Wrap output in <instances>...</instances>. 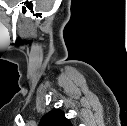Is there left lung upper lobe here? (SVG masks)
Segmentation results:
<instances>
[{
    "label": "left lung upper lobe",
    "mask_w": 127,
    "mask_h": 126,
    "mask_svg": "<svg viewBox=\"0 0 127 126\" xmlns=\"http://www.w3.org/2000/svg\"><path fill=\"white\" fill-rule=\"evenodd\" d=\"M39 126H72L69 119L60 109L48 112L40 121Z\"/></svg>",
    "instance_id": "5c2ea615"
}]
</instances>
